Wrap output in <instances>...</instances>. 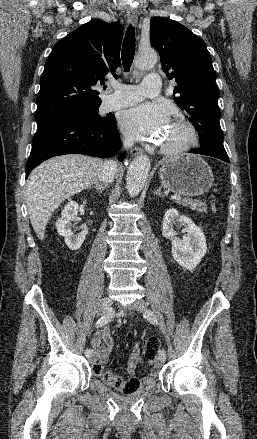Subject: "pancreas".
I'll use <instances>...</instances> for the list:
<instances>
[{
  "mask_svg": "<svg viewBox=\"0 0 257 439\" xmlns=\"http://www.w3.org/2000/svg\"><path fill=\"white\" fill-rule=\"evenodd\" d=\"M184 206H189L191 209L197 212H206V204L202 203L200 200L184 199L181 202Z\"/></svg>",
  "mask_w": 257,
  "mask_h": 439,
  "instance_id": "1",
  "label": "pancreas"
}]
</instances>
